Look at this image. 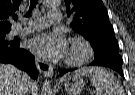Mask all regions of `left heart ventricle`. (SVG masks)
<instances>
[{"label": "left heart ventricle", "mask_w": 135, "mask_h": 95, "mask_svg": "<svg viewBox=\"0 0 135 95\" xmlns=\"http://www.w3.org/2000/svg\"><path fill=\"white\" fill-rule=\"evenodd\" d=\"M81 54H82V49H81V47L78 46V45L69 47L68 52H67V55H68V56H71V57H73V58H77V57H79Z\"/></svg>", "instance_id": "1"}]
</instances>
